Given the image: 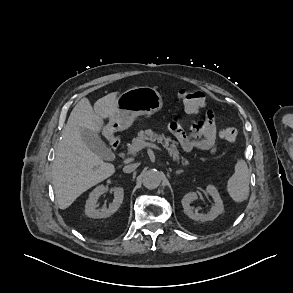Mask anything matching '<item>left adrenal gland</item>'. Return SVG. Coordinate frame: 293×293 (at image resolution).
<instances>
[{
  "label": "left adrenal gland",
  "mask_w": 293,
  "mask_h": 293,
  "mask_svg": "<svg viewBox=\"0 0 293 293\" xmlns=\"http://www.w3.org/2000/svg\"><path fill=\"white\" fill-rule=\"evenodd\" d=\"M183 172H184L183 170H177V171L175 172V174L178 175V174H181V173H183Z\"/></svg>",
  "instance_id": "a2214340"
}]
</instances>
